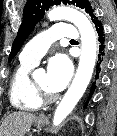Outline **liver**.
Returning <instances> with one entry per match:
<instances>
[{
	"instance_id": "6515ba94",
	"label": "liver",
	"mask_w": 117,
	"mask_h": 136,
	"mask_svg": "<svg viewBox=\"0 0 117 136\" xmlns=\"http://www.w3.org/2000/svg\"><path fill=\"white\" fill-rule=\"evenodd\" d=\"M36 118V115L32 113L13 112L3 120L0 136H24Z\"/></svg>"
}]
</instances>
